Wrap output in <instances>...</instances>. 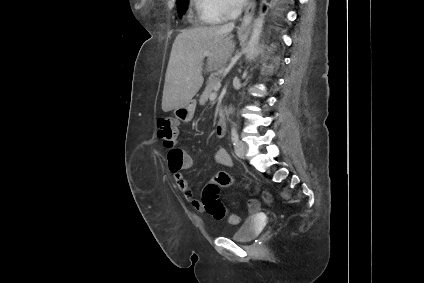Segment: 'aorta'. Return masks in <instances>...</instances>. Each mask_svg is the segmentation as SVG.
Returning a JSON list of instances; mask_svg holds the SVG:
<instances>
[{
    "instance_id": "762f6f07",
    "label": "aorta",
    "mask_w": 424,
    "mask_h": 283,
    "mask_svg": "<svg viewBox=\"0 0 424 283\" xmlns=\"http://www.w3.org/2000/svg\"><path fill=\"white\" fill-rule=\"evenodd\" d=\"M267 4H268L267 0H261V6H267ZM264 16H265V13L262 10H260L259 17L254 22L252 34L248 41L247 47L245 49V56H246V59L248 60H251L254 58L255 52L257 50L260 34L262 32L263 25H264ZM229 112L232 113L233 109L230 108Z\"/></svg>"
}]
</instances>
